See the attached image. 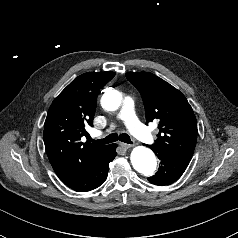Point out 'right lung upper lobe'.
Returning a JSON list of instances; mask_svg holds the SVG:
<instances>
[{
	"label": "right lung upper lobe",
	"instance_id": "cb5924a9",
	"mask_svg": "<svg viewBox=\"0 0 238 238\" xmlns=\"http://www.w3.org/2000/svg\"><path fill=\"white\" fill-rule=\"evenodd\" d=\"M115 72H88L74 79L52 102L44 124V144L60 180L68 183L92 166L110 145L82 143L92 125L96 98Z\"/></svg>",
	"mask_w": 238,
	"mask_h": 238
}]
</instances>
